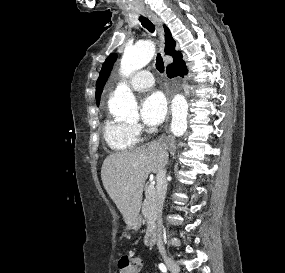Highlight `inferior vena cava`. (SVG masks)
I'll use <instances>...</instances> for the list:
<instances>
[{
	"label": "inferior vena cava",
	"instance_id": "602c4592",
	"mask_svg": "<svg viewBox=\"0 0 285 273\" xmlns=\"http://www.w3.org/2000/svg\"><path fill=\"white\" fill-rule=\"evenodd\" d=\"M156 181H157V186H156L157 189L155 195V206H156V212L158 214L157 247L159 249V252L164 253L165 249L161 238V212L167 191L166 169L164 167L158 172Z\"/></svg>",
	"mask_w": 285,
	"mask_h": 273
}]
</instances>
